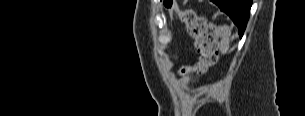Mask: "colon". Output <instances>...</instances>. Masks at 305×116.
Masks as SVG:
<instances>
[{
	"mask_svg": "<svg viewBox=\"0 0 305 116\" xmlns=\"http://www.w3.org/2000/svg\"><path fill=\"white\" fill-rule=\"evenodd\" d=\"M169 8L186 26L190 37L194 40L197 60L193 65L180 66L178 73L182 76L189 72L204 75L217 59L218 34L207 28L206 19L191 9H182L176 1H171Z\"/></svg>",
	"mask_w": 305,
	"mask_h": 116,
	"instance_id": "colon-1",
	"label": "colon"
}]
</instances>
